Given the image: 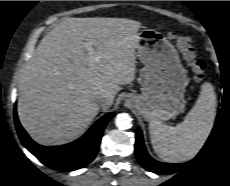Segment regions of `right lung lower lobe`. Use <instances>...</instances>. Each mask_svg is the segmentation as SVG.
Instances as JSON below:
<instances>
[{
	"mask_svg": "<svg viewBox=\"0 0 230 186\" xmlns=\"http://www.w3.org/2000/svg\"><path fill=\"white\" fill-rule=\"evenodd\" d=\"M114 116L109 113L100 118L80 139L66 145L41 146L28 136L14 114L15 125L23 145L46 166L59 171H73L89 164L95 157L102 132Z\"/></svg>",
	"mask_w": 230,
	"mask_h": 186,
	"instance_id": "98d812e1",
	"label": "right lung lower lobe"
}]
</instances>
